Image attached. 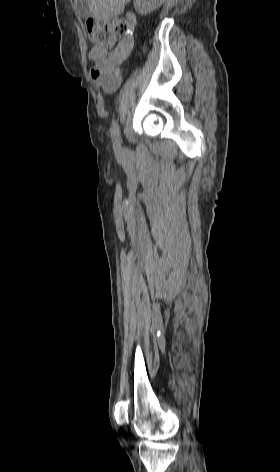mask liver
<instances>
[{
    "label": "liver",
    "mask_w": 280,
    "mask_h": 472,
    "mask_svg": "<svg viewBox=\"0 0 280 472\" xmlns=\"http://www.w3.org/2000/svg\"><path fill=\"white\" fill-rule=\"evenodd\" d=\"M130 0H87L90 15L97 21H110L123 13Z\"/></svg>",
    "instance_id": "liver-1"
}]
</instances>
